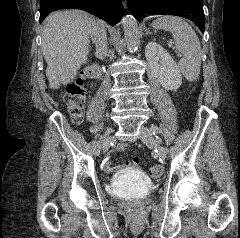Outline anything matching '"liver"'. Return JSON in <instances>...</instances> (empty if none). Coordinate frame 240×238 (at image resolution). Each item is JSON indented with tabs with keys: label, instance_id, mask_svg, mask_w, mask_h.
I'll return each mask as SVG.
<instances>
[{
	"label": "liver",
	"instance_id": "6515ba94",
	"mask_svg": "<svg viewBox=\"0 0 240 238\" xmlns=\"http://www.w3.org/2000/svg\"><path fill=\"white\" fill-rule=\"evenodd\" d=\"M99 24L80 10L59 11L46 19L42 31V50L51 89L73 81L81 65L88 59L89 36Z\"/></svg>",
	"mask_w": 240,
	"mask_h": 238
}]
</instances>
